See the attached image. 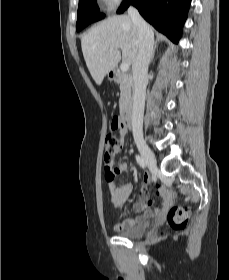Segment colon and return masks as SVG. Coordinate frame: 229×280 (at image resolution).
I'll return each mask as SVG.
<instances>
[{
    "label": "colon",
    "mask_w": 229,
    "mask_h": 280,
    "mask_svg": "<svg viewBox=\"0 0 229 280\" xmlns=\"http://www.w3.org/2000/svg\"><path fill=\"white\" fill-rule=\"evenodd\" d=\"M118 125V120H112L111 127L115 128ZM122 145L120 140L113 134L109 133L105 140L104 163L106 166L105 180L108 183H113L115 174L111 170V165L115 155L121 150ZM189 212L184 206H173L167 214L168 225L175 230L184 228L188 222Z\"/></svg>",
    "instance_id": "obj_1"
}]
</instances>
